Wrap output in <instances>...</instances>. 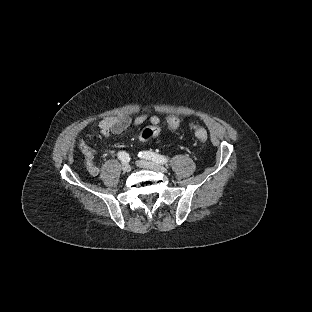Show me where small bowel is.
<instances>
[{
    "label": "small bowel",
    "instance_id": "small-bowel-1",
    "mask_svg": "<svg viewBox=\"0 0 312 312\" xmlns=\"http://www.w3.org/2000/svg\"><path fill=\"white\" fill-rule=\"evenodd\" d=\"M146 120H149L151 124H160V118L157 115H140L134 120H132L129 116H110L102 119L98 123V127L103 136L116 135L125 131L131 124L140 126L145 123ZM190 126L192 129L197 128V125L194 123H191ZM78 146L83 154L84 165L87 172L92 176H97L100 172V168L95 162V151L84 139L79 141Z\"/></svg>",
    "mask_w": 312,
    "mask_h": 312
}]
</instances>
